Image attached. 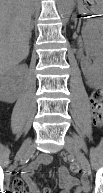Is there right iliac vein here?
Here are the masks:
<instances>
[{
  "mask_svg": "<svg viewBox=\"0 0 103 193\" xmlns=\"http://www.w3.org/2000/svg\"><path fill=\"white\" fill-rule=\"evenodd\" d=\"M32 146L31 140H26L23 145L21 146L19 152L16 155L15 158V165H17V162L20 161L29 151L30 147Z\"/></svg>",
  "mask_w": 103,
  "mask_h": 193,
  "instance_id": "1",
  "label": "right iliac vein"
}]
</instances>
